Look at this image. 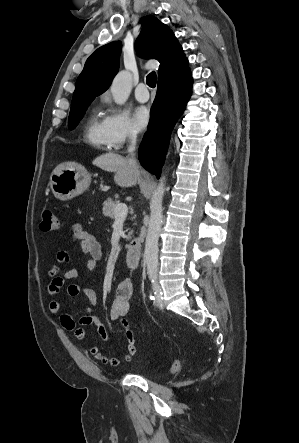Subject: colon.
<instances>
[{"mask_svg":"<svg viewBox=\"0 0 299 443\" xmlns=\"http://www.w3.org/2000/svg\"><path fill=\"white\" fill-rule=\"evenodd\" d=\"M40 228L42 231H53L58 228V218L56 214L51 210H46L43 212L42 221L40 223ZM131 337L134 339V334L131 331ZM180 363L178 360H174L170 366L171 372H177L179 370Z\"/></svg>","mask_w":299,"mask_h":443,"instance_id":"colon-1","label":"colon"}]
</instances>
